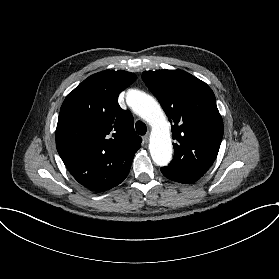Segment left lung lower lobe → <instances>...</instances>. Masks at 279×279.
Masks as SVG:
<instances>
[{
    "instance_id": "1",
    "label": "left lung lower lobe",
    "mask_w": 279,
    "mask_h": 279,
    "mask_svg": "<svg viewBox=\"0 0 279 279\" xmlns=\"http://www.w3.org/2000/svg\"><path fill=\"white\" fill-rule=\"evenodd\" d=\"M161 172L168 179L176 181V182L184 183V184H191V183H194L198 180L197 178L184 175L180 172L171 170L167 167H162Z\"/></svg>"
}]
</instances>
